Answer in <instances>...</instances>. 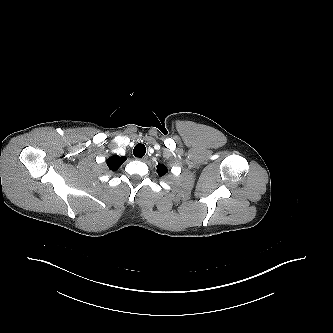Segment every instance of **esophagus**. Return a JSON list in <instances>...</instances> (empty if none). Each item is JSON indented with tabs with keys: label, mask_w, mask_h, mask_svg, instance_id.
<instances>
[{
	"label": "esophagus",
	"mask_w": 333,
	"mask_h": 333,
	"mask_svg": "<svg viewBox=\"0 0 333 333\" xmlns=\"http://www.w3.org/2000/svg\"><path fill=\"white\" fill-rule=\"evenodd\" d=\"M138 160L145 162L147 160V156H144L142 158H138Z\"/></svg>",
	"instance_id": "1"
}]
</instances>
